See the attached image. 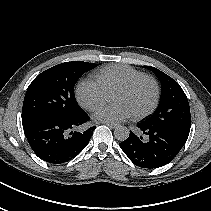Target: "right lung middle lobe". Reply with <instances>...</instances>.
I'll list each match as a JSON object with an SVG mask.
<instances>
[{
	"label": "right lung middle lobe",
	"mask_w": 211,
	"mask_h": 211,
	"mask_svg": "<svg viewBox=\"0 0 211 211\" xmlns=\"http://www.w3.org/2000/svg\"><path fill=\"white\" fill-rule=\"evenodd\" d=\"M96 67L88 62H65L39 74L24 97L22 122L71 118L84 111L78 105L74 86L86 71Z\"/></svg>",
	"instance_id": "1"
}]
</instances>
